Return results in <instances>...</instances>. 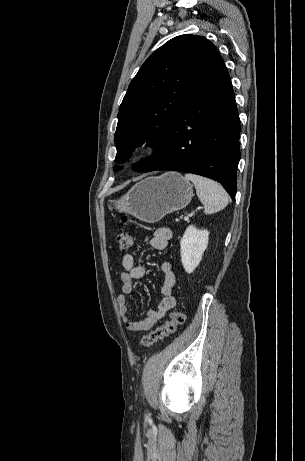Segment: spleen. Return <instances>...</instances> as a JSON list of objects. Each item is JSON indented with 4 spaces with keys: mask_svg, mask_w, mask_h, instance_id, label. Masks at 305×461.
<instances>
[{
    "mask_svg": "<svg viewBox=\"0 0 305 461\" xmlns=\"http://www.w3.org/2000/svg\"><path fill=\"white\" fill-rule=\"evenodd\" d=\"M185 179L194 183L196 193L204 205L206 215L224 209L229 202L225 189L217 182L195 174H185Z\"/></svg>",
    "mask_w": 305,
    "mask_h": 461,
    "instance_id": "spleen-1",
    "label": "spleen"
}]
</instances>
